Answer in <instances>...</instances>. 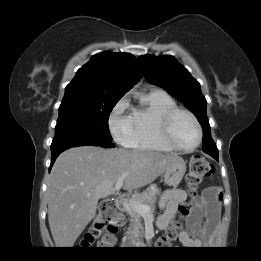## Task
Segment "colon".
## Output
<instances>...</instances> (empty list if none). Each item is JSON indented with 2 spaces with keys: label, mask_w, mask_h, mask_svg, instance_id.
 Listing matches in <instances>:
<instances>
[{
  "label": "colon",
  "mask_w": 261,
  "mask_h": 261,
  "mask_svg": "<svg viewBox=\"0 0 261 261\" xmlns=\"http://www.w3.org/2000/svg\"><path fill=\"white\" fill-rule=\"evenodd\" d=\"M213 166L205 158L195 155L190 160L189 172L186 176V182L189 190L195 191L198 186L213 173ZM184 214L187 210H182ZM115 215V204L111 199H105L99 206V213L94 222L92 230L87 234V238L82 241V247H89L96 244L99 247H109L114 243V237L110 231L102 235L104 228L108 227ZM176 239V232L170 230L158 242V246H168Z\"/></svg>",
  "instance_id": "obj_1"
}]
</instances>
